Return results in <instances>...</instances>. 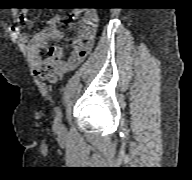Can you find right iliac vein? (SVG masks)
I'll list each match as a JSON object with an SVG mask.
<instances>
[{
    "label": "right iliac vein",
    "instance_id": "obj_1",
    "mask_svg": "<svg viewBox=\"0 0 192 180\" xmlns=\"http://www.w3.org/2000/svg\"><path fill=\"white\" fill-rule=\"evenodd\" d=\"M59 129L62 130V126H59Z\"/></svg>",
    "mask_w": 192,
    "mask_h": 180
}]
</instances>
